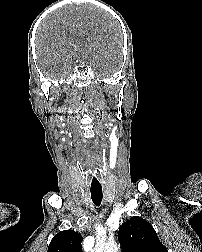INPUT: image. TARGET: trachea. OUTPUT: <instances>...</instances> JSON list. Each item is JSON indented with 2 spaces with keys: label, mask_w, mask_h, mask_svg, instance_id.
Masks as SVG:
<instances>
[{
  "label": "trachea",
  "mask_w": 202,
  "mask_h": 252,
  "mask_svg": "<svg viewBox=\"0 0 202 252\" xmlns=\"http://www.w3.org/2000/svg\"><path fill=\"white\" fill-rule=\"evenodd\" d=\"M90 191H91V198H92L93 203L99 206L103 198L102 188L91 187Z\"/></svg>",
  "instance_id": "trachea-1"
}]
</instances>
